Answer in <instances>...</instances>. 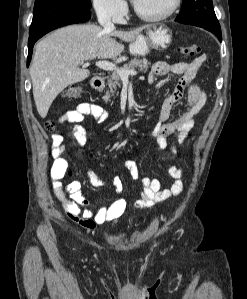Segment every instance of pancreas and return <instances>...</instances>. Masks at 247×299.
Listing matches in <instances>:
<instances>
[{
  "instance_id": "pancreas-1",
  "label": "pancreas",
  "mask_w": 247,
  "mask_h": 299,
  "mask_svg": "<svg viewBox=\"0 0 247 299\" xmlns=\"http://www.w3.org/2000/svg\"><path fill=\"white\" fill-rule=\"evenodd\" d=\"M150 62L147 59H132L129 63L124 64L121 69L122 70H134L135 68H138L141 72H146L149 68ZM107 84L109 87V90L106 91L103 99L105 102L110 101L111 96L114 93H118L117 89L118 87H121V78L118 73H112L108 80Z\"/></svg>"
}]
</instances>
